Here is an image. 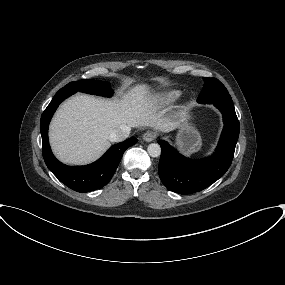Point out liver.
Segmentation results:
<instances>
[{"label": "liver", "instance_id": "6515ba94", "mask_svg": "<svg viewBox=\"0 0 285 285\" xmlns=\"http://www.w3.org/2000/svg\"><path fill=\"white\" fill-rule=\"evenodd\" d=\"M157 100L146 85H137L121 100L78 94L57 110L49 131L56 157L67 164H87L110 146V134L121 125L168 131L178 124L161 118Z\"/></svg>", "mask_w": 285, "mask_h": 285}]
</instances>
